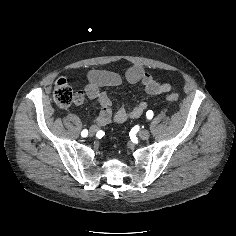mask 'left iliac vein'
I'll list each match as a JSON object with an SVG mask.
<instances>
[{"instance_id":"left-iliac-vein-1","label":"left iliac vein","mask_w":236,"mask_h":236,"mask_svg":"<svg viewBox=\"0 0 236 236\" xmlns=\"http://www.w3.org/2000/svg\"><path fill=\"white\" fill-rule=\"evenodd\" d=\"M138 135H139V138L142 139V140H147L150 137L149 131H147L145 129L140 130Z\"/></svg>"}]
</instances>
